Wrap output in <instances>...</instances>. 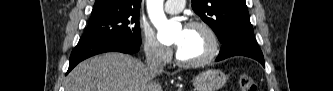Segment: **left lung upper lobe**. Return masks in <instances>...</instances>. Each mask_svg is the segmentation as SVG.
Segmentation results:
<instances>
[{
	"mask_svg": "<svg viewBox=\"0 0 333 91\" xmlns=\"http://www.w3.org/2000/svg\"><path fill=\"white\" fill-rule=\"evenodd\" d=\"M192 8L221 43L234 34L253 31L245 0H192Z\"/></svg>",
	"mask_w": 333,
	"mask_h": 91,
	"instance_id": "left-lung-upper-lobe-1",
	"label": "left lung upper lobe"
}]
</instances>
